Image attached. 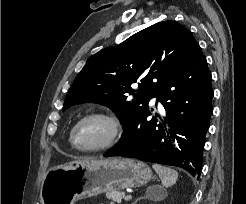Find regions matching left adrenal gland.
Instances as JSON below:
<instances>
[{
  "label": "left adrenal gland",
  "mask_w": 246,
  "mask_h": 204,
  "mask_svg": "<svg viewBox=\"0 0 246 204\" xmlns=\"http://www.w3.org/2000/svg\"><path fill=\"white\" fill-rule=\"evenodd\" d=\"M139 199H140V198L136 199V201H135L134 203H132V204H135Z\"/></svg>",
  "instance_id": "left-adrenal-gland-1"
}]
</instances>
